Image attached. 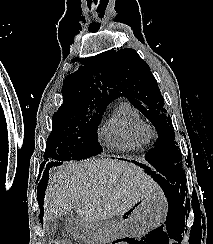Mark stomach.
<instances>
[{
  "instance_id": "0dacf381",
  "label": "stomach",
  "mask_w": 213,
  "mask_h": 244,
  "mask_svg": "<svg viewBox=\"0 0 213 244\" xmlns=\"http://www.w3.org/2000/svg\"><path fill=\"white\" fill-rule=\"evenodd\" d=\"M165 220L161 202L145 197L124 213L120 221H78L71 233L87 239V244H101V239H127L128 235H143Z\"/></svg>"
}]
</instances>
